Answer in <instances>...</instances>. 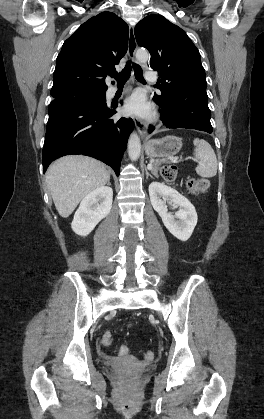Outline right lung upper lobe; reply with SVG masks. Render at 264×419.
Returning a JSON list of instances; mask_svg holds the SVG:
<instances>
[{
	"label": "right lung upper lobe",
	"instance_id": "obj_1",
	"mask_svg": "<svg viewBox=\"0 0 264 419\" xmlns=\"http://www.w3.org/2000/svg\"><path fill=\"white\" fill-rule=\"evenodd\" d=\"M128 36V25L112 12L83 23L57 57L52 97L73 90H107L105 77L126 54Z\"/></svg>",
	"mask_w": 264,
	"mask_h": 419
}]
</instances>
